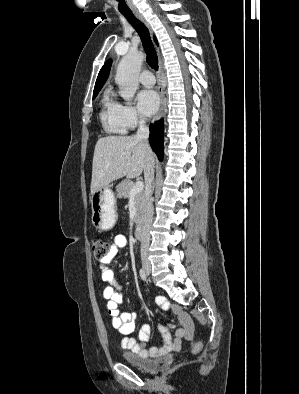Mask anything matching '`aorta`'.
<instances>
[{
	"instance_id": "aorta-1",
	"label": "aorta",
	"mask_w": 299,
	"mask_h": 394,
	"mask_svg": "<svg viewBox=\"0 0 299 394\" xmlns=\"http://www.w3.org/2000/svg\"><path fill=\"white\" fill-rule=\"evenodd\" d=\"M143 60L141 52H129L117 67L115 81L119 86V94L126 100H131L136 93Z\"/></svg>"
}]
</instances>
